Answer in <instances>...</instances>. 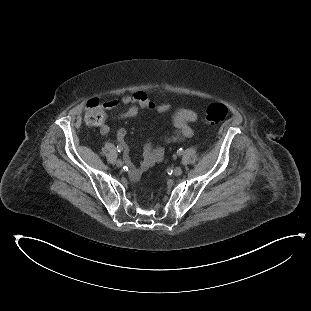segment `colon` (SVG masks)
<instances>
[{
	"instance_id": "colon-1",
	"label": "colon",
	"mask_w": 311,
	"mask_h": 311,
	"mask_svg": "<svg viewBox=\"0 0 311 311\" xmlns=\"http://www.w3.org/2000/svg\"><path fill=\"white\" fill-rule=\"evenodd\" d=\"M108 105L99 101H89L86 105L85 120L88 124L103 126L106 122V113ZM229 113V110L223 104H213L203 113V121L206 124H218Z\"/></svg>"
}]
</instances>
